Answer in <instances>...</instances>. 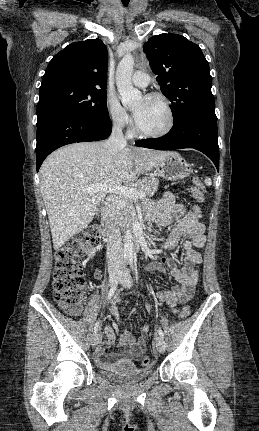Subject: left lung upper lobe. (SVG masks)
I'll list each match as a JSON object with an SVG mask.
<instances>
[{"label": "left lung upper lobe", "mask_w": 259, "mask_h": 431, "mask_svg": "<svg viewBox=\"0 0 259 431\" xmlns=\"http://www.w3.org/2000/svg\"><path fill=\"white\" fill-rule=\"evenodd\" d=\"M162 93L172 102L174 122L192 115L217 119L212 78L200 47L177 34L151 37L143 46Z\"/></svg>", "instance_id": "1"}]
</instances>
